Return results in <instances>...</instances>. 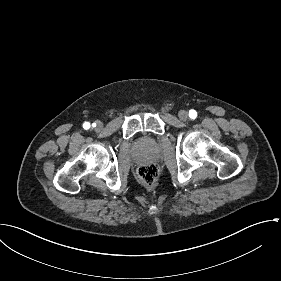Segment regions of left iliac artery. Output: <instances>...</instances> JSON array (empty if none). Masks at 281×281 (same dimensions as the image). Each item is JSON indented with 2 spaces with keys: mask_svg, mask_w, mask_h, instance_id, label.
Wrapping results in <instances>:
<instances>
[{
  "mask_svg": "<svg viewBox=\"0 0 281 281\" xmlns=\"http://www.w3.org/2000/svg\"><path fill=\"white\" fill-rule=\"evenodd\" d=\"M189 117L191 119H195L197 117V112L195 110H190L189 111Z\"/></svg>",
  "mask_w": 281,
  "mask_h": 281,
  "instance_id": "obj_1",
  "label": "left iliac artery"
}]
</instances>
